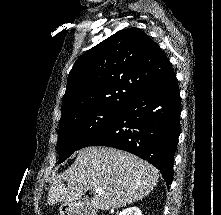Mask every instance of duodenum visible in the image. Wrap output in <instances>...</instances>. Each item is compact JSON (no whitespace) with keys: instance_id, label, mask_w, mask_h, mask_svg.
<instances>
[{"instance_id":"obj_1","label":"duodenum","mask_w":221,"mask_h":215,"mask_svg":"<svg viewBox=\"0 0 221 215\" xmlns=\"http://www.w3.org/2000/svg\"><path fill=\"white\" fill-rule=\"evenodd\" d=\"M79 215H95L93 212H88V213H82V214H79Z\"/></svg>"}]
</instances>
